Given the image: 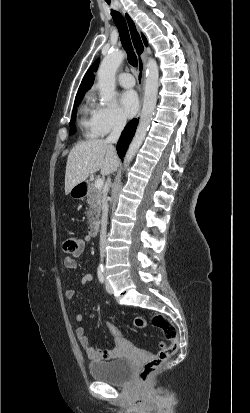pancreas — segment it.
<instances>
[{"instance_id": "cf45deb5", "label": "pancreas", "mask_w": 250, "mask_h": 413, "mask_svg": "<svg viewBox=\"0 0 250 413\" xmlns=\"http://www.w3.org/2000/svg\"><path fill=\"white\" fill-rule=\"evenodd\" d=\"M102 197L103 191L101 189H97L94 183L89 184L87 194L89 211L87 212V216L90 224H94L99 218L101 212Z\"/></svg>"}]
</instances>
